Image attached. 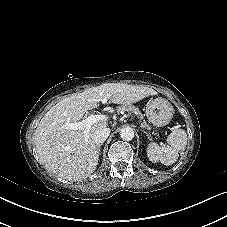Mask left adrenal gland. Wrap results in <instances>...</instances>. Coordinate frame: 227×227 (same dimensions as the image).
<instances>
[{"label": "left adrenal gland", "mask_w": 227, "mask_h": 227, "mask_svg": "<svg viewBox=\"0 0 227 227\" xmlns=\"http://www.w3.org/2000/svg\"><path fill=\"white\" fill-rule=\"evenodd\" d=\"M143 133H145V134H146V136L148 137V139H150V134H149L148 132L143 131Z\"/></svg>", "instance_id": "left-adrenal-gland-1"}]
</instances>
